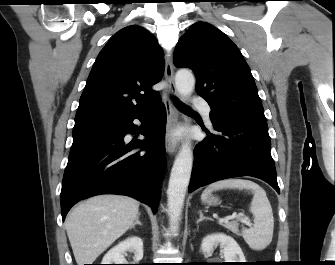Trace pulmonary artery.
<instances>
[{
  "label": "pulmonary artery",
  "mask_w": 335,
  "mask_h": 265,
  "mask_svg": "<svg viewBox=\"0 0 335 265\" xmlns=\"http://www.w3.org/2000/svg\"><path fill=\"white\" fill-rule=\"evenodd\" d=\"M192 105L198 109H200L207 120V122H210V114H211V108L208 105V103L200 98V97H194L192 99Z\"/></svg>",
  "instance_id": "obj_1"
}]
</instances>
